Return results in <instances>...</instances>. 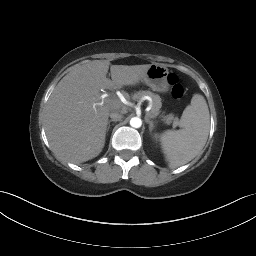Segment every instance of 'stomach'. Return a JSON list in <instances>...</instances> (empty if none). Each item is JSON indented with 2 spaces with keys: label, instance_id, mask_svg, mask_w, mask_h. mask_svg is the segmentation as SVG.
I'll return each mask as SVG.
<instances>
[{
  "label": "stomach",
  "instance_id": "stomach-1",
  "mask_svg": "<svg viewBox=\"0 0 256 256\" xmlns=\"http://www.w3.org/2000/svg\"><path fill=\"white\" fill-rule=\"evenodd\" d=\"M141 81L153 91L165 93L169 90L168 69L163 64L153 63Z\"/></svg>",
  "mask_w": 256,
  "mask_h": 256
}]
</instances>
